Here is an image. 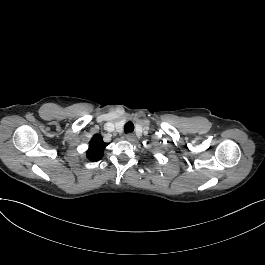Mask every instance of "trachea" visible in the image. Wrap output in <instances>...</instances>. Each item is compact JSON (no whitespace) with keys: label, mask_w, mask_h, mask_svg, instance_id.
Returning a JSON list of instances; mask_svg holds the SVG:
<instances>
[{"label":"trachea","mask_w":265,"mask_h":265,"mask_svg":"<svg viewBox=\"0 0 265 265\" xmlns=\"http://www.w3.org/2000/svg\"><path fill=\"white\" fill-rule=\"evenodd\" d=\"M134 130V125L132 122H127L125 125H124V132L126 134L128 133H132Z\"/></svg>","instance_id":"obj_1"}]
</instances>
